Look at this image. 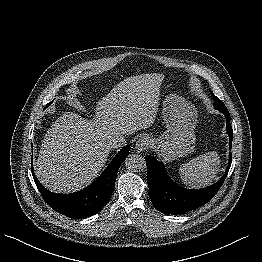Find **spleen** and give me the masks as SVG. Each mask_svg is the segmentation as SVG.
<instances>
[{
  "instance_id": "1",
  "label": "spleen",
  "mask_w": 262,
  "mask_h": 262,
  "mask_svg": "<svg viewBox=\"0 0 262 262\" xmlns=\"http://www.w3.org/2000/svg\"><path fill=\"white\" fill-rule=\"evenodd\" d=\"M220 167L216 151L207 152L180 166V177L187 186L198 188L212 182Z\"/></svg>"
}]
</instances>
